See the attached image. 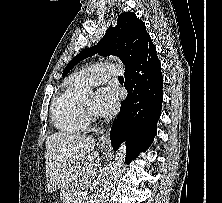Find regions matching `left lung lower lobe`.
<instances>
[{"label": "left lung lower lobe", "mask_w": 222, "mask_h": 203, "mask_svg": "<svg viewBox=\"0 0 222 203\" xmlns=\"http://www.w3.org/2000/svg\"><path fill=\"white\" fill-rule=\"evenodd\" d=\"M124 76L128 96L121 103L110 137L115 151L126 137L125 161L129 164L153 142L161 114L163 76L150 36L133 64L125 69Z\"/></svg>", "instance_id": "obj_1"}]
</instances>
